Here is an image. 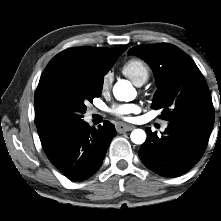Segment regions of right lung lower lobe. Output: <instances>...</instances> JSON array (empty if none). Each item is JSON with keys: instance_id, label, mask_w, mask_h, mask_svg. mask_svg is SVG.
I'll list each match as a JSON object with an SVG mask.
<instances>
[{"instance_id": "obj_1", "label": "right lung lower lobe", "mask_w": 221, "mask_h": 221, "mask_svg": "<svg viewBox=\"0 0 221 221\" xmlns=\"http://www.w3.org/2000/svg\"><path fill=\"white\" fill-rule=\"evenodd\" d=\"M115 135V127L109 121L96 129L82 120L62 133L45 152L69 179L84 180L99 169Z\"/></svg>"}]
</instances>
